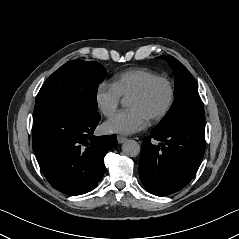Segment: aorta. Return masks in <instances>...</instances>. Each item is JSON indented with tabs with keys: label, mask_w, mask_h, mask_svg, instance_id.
<instances>
[{
	"label": "aorta",
	"mask_w": 239,
	"mask_h": 239,
	"mask_svg": "<svg viewBox=\"0 0 239 239\" xmlns=\"http://www.w3.org/2000/svg\"><path fill=\"white\" fill-rule=\"evenodd\" d=\"M140 150V145L135 140L129 139L122 144V152L128 157H136L140 153Z\"/></svg>",
	"instance_id": "aorta-1"
}]
</instances>
